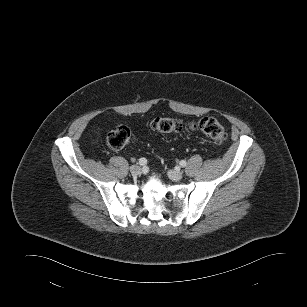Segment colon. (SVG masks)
I'll list each match as a JSON object with an SVG mask.
<instances>
[{
  "label": "colon",
  "mask_w": 307,
  "mask_h": 307,
  "mask_svg": "<svg viewBox=\"0 0 307 307\" xmlns=\"http://www.w3.org/2000/svg\"><path fill=\"white\" fill-rule=\"evenodd\" d=\"M151 128L159 133H178L182 131L184 124L180 119L158 117L151 121ZM193 131H199L212 139L216 144H222L227 139L224 127L212 117H204L189 124ZM134 140V134L125 125H118L108 133V145L115 150H120Z\"/></svg>",
  "instance_id": "colon-1"
}]
</instances>
